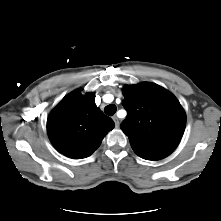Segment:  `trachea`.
I'll return each instance as SVG.
<instances>
[{"mask_svg": "<svg viewBox=\"0 0 221 221\" xmlns=\"http://www.w3.org/2000/svg\"><path fill=\"white\" fill-rule=\"evenodd\" d=\"M117 111V107L114 104H110L104 108L105 114L108 116H113Z\"/></svg>", "mask_w": 221, "mask_h": 221, "instance_id": "3493384b", "label": "trachea"}]
</instances>
